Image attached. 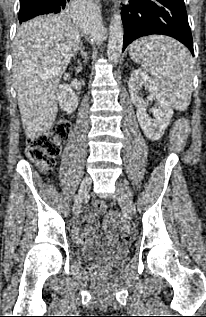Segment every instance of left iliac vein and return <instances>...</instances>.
Segmentation results:
<instances>
[{"mask_svg":"<svg viewBox=\"0 0 206 317\" xmlns=\"http://www.w3.org/2000/svg\"><path fill=\"white\" fill-rule=\"evenodd\" d=\"M113 197L123 205L125 210L130 214L134 215L136 212V207L133 200L129 197L124 187L121 184L116 185V191L113 194Z\"/></svg>","mask_w":206,"mask_h":317,"instance_id":"4c4485c4","label":"left iliac vein"}]
</instances>
